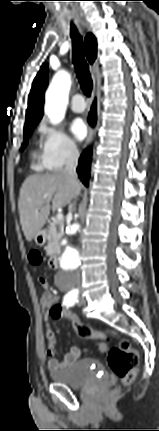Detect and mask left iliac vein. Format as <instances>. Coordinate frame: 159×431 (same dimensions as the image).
<instances>
[{"label": "left iliac vein", "instance_id": "obj_1", "mask_svg": "<svg viewBox=\"0 0 159 431\" xmlns=\"http://www.w3.org/2000/svg\"><path fill=\"white\" fill-rule=\"evenodd\" d=\"M77 304H78L79 306H82V305H84V304H85V299H84V297H83V296H80V297H79Z\"/></svg>", "mask_w": 159, "mask_h": 431}]
</instances>
